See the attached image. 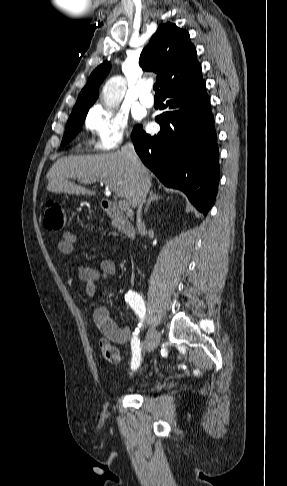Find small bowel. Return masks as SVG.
<instances>
[{"mask_svg":"<svg viewBox=\"0 0 287 486\" xmlns=\"http://www.w3.org/2000/svg\"><path fill=\"white\" fill-rule=\"evenodd\" d=\"M78 239L69 231L62 234L58 242V250L63 255H71L74 252ZM116 276V265L110 259H103L100 268L81 266L78 269V281L81 291L89 298L96 297V287L107 281H112ZM94 322L100 332L110 341L117 344L132 343L131 329L127 326L117 325L106 307H97L93 314Z\"/></svg>","mask_w":287,"mask_h":486,"instance_id":"small-bowel-1","label":"small bowel"}]
</instances>
